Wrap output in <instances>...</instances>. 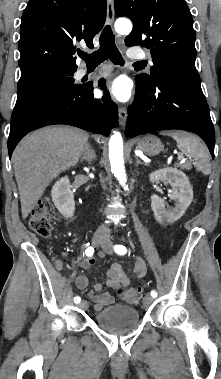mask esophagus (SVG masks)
<instances>
[{
    "instance_id": "34e87169",
    "label": "esophagus",
    "mask_w": 221,
    "mask_h": 379,
    "mask_svg": "<svg viewBox=\"0 0 221 379\" xmlns=\"http://www.w3.org/2000/svg\"><path fill=\"white\" fill-rule=\"evenodd\" d=\"M114 0H107V23L112 25L114 22ZM127 120V109L125 107L119 108V123L125 126Z\"/></svg>"
}]
</instances>
